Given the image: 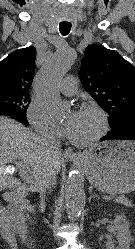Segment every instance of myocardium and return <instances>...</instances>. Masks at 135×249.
Instances as JSON below:
<instances>
[{"mask_svg":"<svg viewBox=\"0 0 135 249\" xmlns=\"http://www.w3.org/2000/svg\"><path fill=\"white\" fill-rule=\"evenodd\" d=\"M83 109L91 110L98 115L100 119V129L93 137L84 141L76 140L70 134H68V139L70 142L78 147H88L95 144L106 135L109 129L108 117L102 108L93 103H85L83 105Z\"/></svg>","mask_w":135,"mask_h":249,"instance_id":"myocardium-1","label":"myocardium"}]
</instances>
